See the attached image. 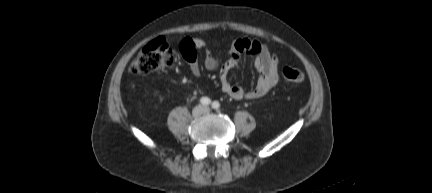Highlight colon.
Segmentation results:
<instances>
[{
    "label": "colon",
    "instance_id": "obj_1",
    "mask_svg": "<svg viewBox=\"0 0 432 193\" xmlns=\"http://www.w3.org/2000/svg\"><path fill=\"white\" fill-rule=\"evenodd\" d=\"M177 58L176 51L164 38L149 42L140 51L129 67V71L137 75H147L172 65ZM282 77L286 83L301 84L305 80L304 73L296 68L284 67Z\"/></svg>",
    "mask_w": 432,
    "mask_h": 193
}]
</instances>
